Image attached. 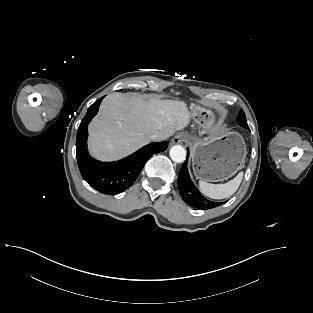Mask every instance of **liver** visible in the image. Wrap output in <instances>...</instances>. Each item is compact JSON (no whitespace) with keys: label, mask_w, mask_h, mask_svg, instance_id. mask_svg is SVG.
Instances as JSON below:
<instances>
[{"label":"liver","mask_w":313,"mask_h":313,"mask_svg":"<svg viewBox=\"0 0 313 313\" xmlns=\"http://www.w3.org/2000/svg\"><path fill=\"white\" fill-rule=\"evenodd\" d=\"M191 113L182 101L137 94L106 96L89 125V148L100 160H114L147 144L159 132L162 140L188 126Z\"/></svg>","instance_id":"6515ba94"}]
</instances>
